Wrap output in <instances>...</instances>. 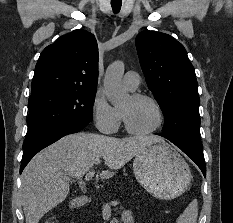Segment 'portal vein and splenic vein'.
I'll list each match as a JSON object with an SVG mask.
<instances>
[{
    "label": "portal vein and splenic vein",
    "instance_id": "portal-vein-and-splenic-vein-1",
    "mask_svg": "<svg viewBox=\"0 0 233 223\" xmlns=\"http://www.w3.org/2000/svg\"><path fill=\"white\" fill-rule=\"evenodd\" d=\"M94 173H91V171H88V173H86L83 181H89V179H92ZM64 179H66V181H71V177H68V175H64ZM118 201H111L110 205H117Z\"/></svg>",
    "mask_w": 233,
    "mask_h": 223
}]
</instances>
